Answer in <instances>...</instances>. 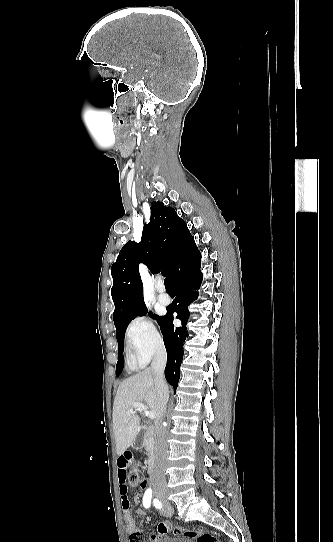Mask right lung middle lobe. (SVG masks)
I'll return each mask as SVG.
<instances>
[{"label": "right lung middle lobe", "instance_id": "right-lung-middle-lobe-1", "mask_svg": "<svg viewBox=\"0 0 333 542\" xmlns=\"http://www.w3.org/2000/svg\"><path fill=\"white\" fill-rule=\"evenodd\" d=\"M148 313V310L145 307L133 312V313H130L128 315H125L123 317H121L120 319L114 321L115 323V327H116V337H117V341H118V361H117V365H116V376H119L120 373L122 372V369H123V363H124V359H123V355L122 352H123V349H124V335H125V331H126V328L128 326V324L134 319L136 318L137 316H144ZM150 317L154 318V319H157V322L158 324L160 323V321L162 320L163 316H158V315H154L152 312H149L148 313Z\"/></svg>", "mask_w": 333, "mask_h": 542}]
</instances>
